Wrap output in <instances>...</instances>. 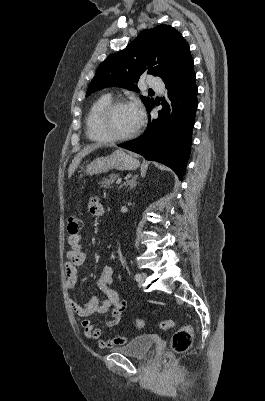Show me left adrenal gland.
<instances>
[{"label": "left adrenal gland", "mask_w": 265, "mask_h": 401, "mask_svg": "<svg viewBox=\"0 0 265 401\" xmlns=\"http://www.w3.org/2000/svg\"><path fill=\"white\" fill-rule=\"evenodd\" d=\"M139 174H134V176H131V178H129V180H127V182H124V184H121L120 188H122V186H128L129 184V188H134V186H137L138 182H137V178H138Z\"/></svg>", "instance_id": "a2214340"}]
</instances>
